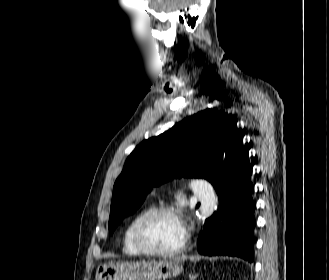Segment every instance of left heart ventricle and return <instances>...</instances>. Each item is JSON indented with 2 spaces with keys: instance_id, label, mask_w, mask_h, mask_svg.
I'll list each match as a JSON object with an SVG mask.
<instances>
[{
  "instance_id": "1",
  "label": "left heart ventricle",
  "mask_w": 329,
  "mask_h": 280,
  "mask_svg": "<svg viewBox=\"0 0 329 280\" xmlns=\"http://www.w3.org/2000/svg\"><path fill=\"white\" fill-rule=\"evenodd\" d=\"M183 225L178 218L162 214L151 220L146 229V240L155 248H175L183 239Z\"/></svg>"
}]
</instances>
